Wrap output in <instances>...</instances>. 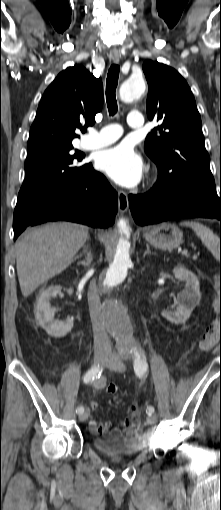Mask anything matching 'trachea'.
I'll list each match as a JSON object with an SVG mask.
<instances>
[{
	"label": "trachea",
	"mask_w": 221,
	"mask_h": 510,
	"mask_svg": "<svg viewBox=\"0 0 221 510\" xmlns=\"http://www.w3.org/2000/svg\"><path fill=\"white\" fill-rule=\"evenodd\" d=\"M119 72L120 68L118 65H111L106 79V102L109 114L112 116H114L118 110L116 88L118 85Z\"/></svg>",
	"instance_id": "obj_1"
}]
</instances>
